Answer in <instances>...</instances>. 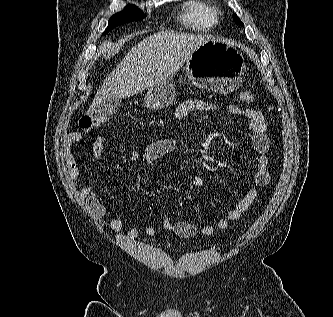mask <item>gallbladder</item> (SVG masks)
Wrapping results in <instances>:
<instances>
[{"label":"gallbladder","mask_w":333,"mask_h":317,"mask_svg":"<svg viewBox=\"0 0 333 317\" xmlns=\"http://www.w3.org/2000/svg\"><path fill=\"white\" fill-rule=\"evenodd\" d=\"M121 105V99L113 97L101 102L97 109L96 114L102 117H108L115 114Z\"/></svg>","instance_id":"bac80fb5"}]
</instances>
